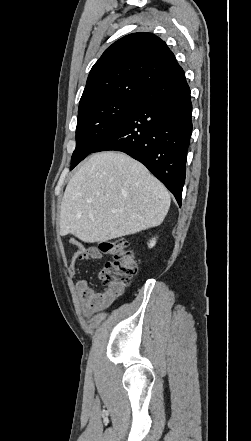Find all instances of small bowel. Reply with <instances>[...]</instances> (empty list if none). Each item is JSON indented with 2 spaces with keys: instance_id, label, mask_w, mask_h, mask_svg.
Returning <instances> with one entry per match:
<instances>
[{
  "instance_id": "small-bowel-1",
  "label": "small bowel",
  "mask_w": 251,
  "mask_h": 441,
  "mask_svg": "<svg viewBox=\"0 0 251 441\" xmlns=\"http://www.w3.org/2000/svg\"><path fill=\"white\" fill-rule=\"evenodd\" d=\"M76 252L71 257L67 267L69 275H74L80 262L100 257L98 249L91 247L85 248L80 242L73 241ZM75 289L79 298L81 309L85 315H90L95 311L102 310L110 306L123 292L116 291L107 286L100 292L90 287L86 279H80L75 283Z\"/></svg>"
}]
</instances>
